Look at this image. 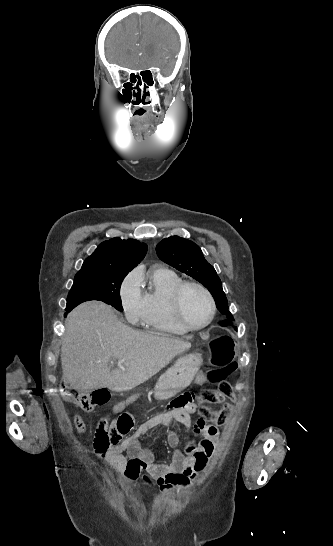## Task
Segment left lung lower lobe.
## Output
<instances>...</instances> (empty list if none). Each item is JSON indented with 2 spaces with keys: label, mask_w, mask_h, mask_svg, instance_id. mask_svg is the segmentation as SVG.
<instances>
[{
  "label": "left lung lower lobe",
  "mask_w": 333,
  "mask_h": 546,
  "mask_svg": "<svg viewBox=\"0 0 333 546\" xmlns=\"http://www.w3.org/2000/svg\"><path fill=\"white\" fill-rule=\"evenodd\" d=\"M231 321H232V320L222 321V322H220V324H221L222 326L231 325V324H232ZM235 330H237V328H235Z\"/></svg>",
  "instance_id": "1"
}]
</instances>
